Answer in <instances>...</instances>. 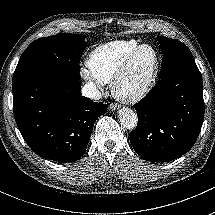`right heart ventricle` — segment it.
Wrapping results in <instances>:
<instances>
[{
    "label": "right heart ventricle",
    "instance_id": "e07e8e85",
    "mask_svg": "<svg viewBox=\"0 0 215 215\" xmlns=\"http://www.w3.org/2000/svg\"><path fill=\"white\" fill-rule=\"evenodd\" d=\"M139 43L136 40H117L100 45L85 60L87 74L99 81L109 82L123 61Z\"/></svg>",
    "mask_w": 215,
    "mask_h": 215
}]
</instances>
